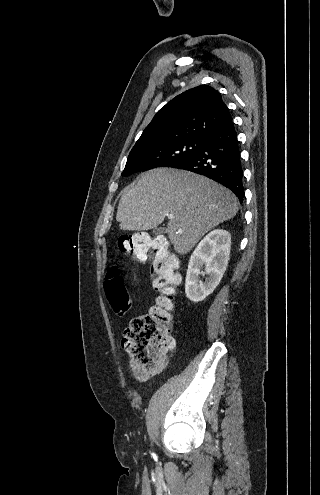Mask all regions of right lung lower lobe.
<instances>
[{
	"label": "right lung lower lobe",
	"mask_w": 320,
	"mask_h": 495,
	"mask_svg": "<svg viewBox=\"0 0 320 495\" xmlns=\"http://www.w3.org/2000/svg\"><path fill=\"white\" fill-rule=\"evenodd\" d=\"M172 167L207 176L229 188L243 202V169L232 121L205 137L191 158Z\"/></svg>",
	"instance_id": "obj_1"
}]
</instances>
